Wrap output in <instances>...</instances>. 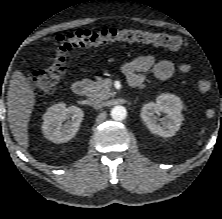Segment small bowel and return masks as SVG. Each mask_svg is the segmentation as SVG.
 <instances>
[{
	"mask_svg": "<svg viewBox=\"0 0 222 219\" xmlns=\"http://www.w3.org/2000/svg\"><path fill=\"white\" fill-rule=\"evenodd\" d=\"M191 69L187 63L175 65L169 60H157L153 55L139 56L122 65V72L131 86H138L143 81V73L152 71L159 80L170 78L176 71L187 73Z\"/></svg>",
	"mask_w": 222,
	"mask_h": 219,
	"instance_id": "1",
	"label": "small bowel"
}]
</instances>
